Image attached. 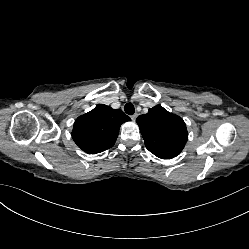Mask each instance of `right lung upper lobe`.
I'll use <instances>...</instances> for the list:
<instances>
[{
  "mask_svg": "<svg viewBox=\"0 0 249 249\" xmlns=\"http://www.w3.org/2000/svg\"><path fill=\"white\" fill-rule=\"evenodd\" d=\"M130 120L122 110L99 104L76 119L72 138L84 152L100 153L115 144L121 124Z\"/></svg>",
  "mask_w": 249,
  "mask_h": 249,
  "instance_id": "1",
  "label": "right lung upper lobe"
}]
</instances>
